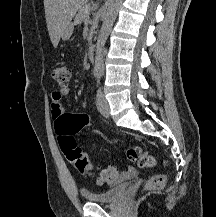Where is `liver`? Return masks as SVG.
<instances>
[{"label": "liver", "mask_w": 216, "mask_h": 217, "mask_svg": "<svg viewBox=\"0 0 216 217\" xmlns=\"http://www.w3.org/2000/svg\"><path fill=\"white\" fill-rule=\"evenodd\" d=\"M89 0H44L45 17L51 42L58 46L60 38L79 9Z\"/></svg>", "instance_id": "obj_1"}]
</instances>
